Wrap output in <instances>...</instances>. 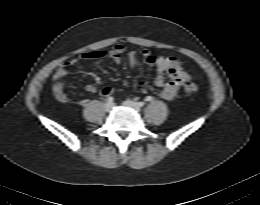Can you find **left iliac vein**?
<instances>
[{"label":"left iliac vein","instance_id":"obj_1","mask_svg":"<svg viewBox=\"0 0 260 205\" xmlns=\"http://www.w3.org/2000/svg\"><path fill=\"white\" fill-rule=\"evenodd\" d=\"M124 104H125L126 106H129V107L133 108V109L136 110V111H139V110H140V107H139L138 103H136V102H134V101L126 100V101L124 102Z\"/></svg>","mask_w":260,"mask_h":205}]
</instances>
